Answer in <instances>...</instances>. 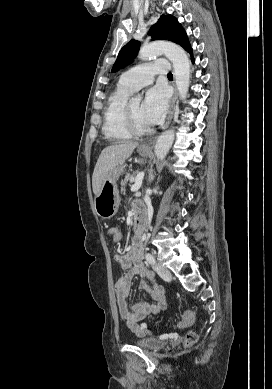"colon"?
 <instances>
[{"label":"colon","instance_id":"colon-1","mask_svg":"<svg viewBox=\"0 0 272 389\" xmlns=\"http://www.w3.org/2000/svg\"><path fill=\"white\" fill-rule=\"evenodd\" d=\"M108 234H109V237L114 242H118L121 239V232L117 227L109 228ZM193 319H194L193 312L187 311L184 313L181 321L178 323V326L183 327V328L187 327V326L191 325V323L193 322ZM198 338H199V336H198L197 332L189 331L185 336L184 343L186 346H192L193 344H195L198 341Z\"/></svg>","mask_w":272,"mask_h":389}]
</instances>
